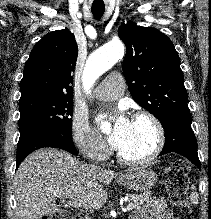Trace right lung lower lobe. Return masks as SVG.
Instances as JSON below:
<instances>
[{"mask_svg": "<svg viewBox=\"0 0 211 219\" xmlns=\"http://www.w3.org/2000/svg\"><path fill=\"white\" fill-rule=\"evenodd\" d=\"M44 147H55L66 150L72 154H78L72 137H67L52 131H40L19 139L16 168L19 167L20 163L28 154Z\"/></svg>", "mask_w": 211, "mask_h": 219, "instance_id": "1", "label": "right lung lower lobe"}]
</instances>
